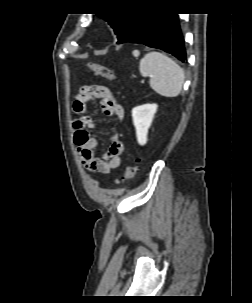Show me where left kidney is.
<instances>
[{"mask_svg":"<svg viewBox=\"0 0 252 303\" xmlns=\"http://www.w3.org/2000/svg\"><path fill=\"white\" fill-rule=\"evenodd\" d=\"M156 111V104H144L132 109V118L136 129L137 141L142 146L147 143L148 129L152 124Z\"/></svg>","mask_w":252,"mask_h":303,"instance_id":"left-kidney-1","label":"left kidney"}]
</instances>
